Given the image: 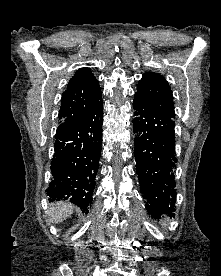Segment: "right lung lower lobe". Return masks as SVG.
I'll use <instances>...</instances> for the list:
<instances>
[{
    "instance_id": "right-lung-lower-lobe-1",
    "label": "right lung lower lobe",
    "mask_w": 221,
    "mask_h": 276,
    "mask_svg": "<svg viewBox=\"0 0 221 276\" xmlns=\"http://www.w3.org/2000/svg\"><path fill=\"white\" fill-rule=\"evenodd\" d=\"M102 124L101 102L86 117L57 128L50 167L53 177L47 189L52 201L70 199L88 212L101 156Z\"/></svg>"
}]
</instances>
